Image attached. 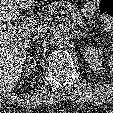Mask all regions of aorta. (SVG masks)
I'll return each mask as SVG.
<instances>
[{
	"instance_id": "762f6f07",
	"label": "aorta",
	"mask_w": 113,
	"mask_h": 113,
	"mask_svg": "<svg viewBox=\"0 0 113 113\" xmlns=\"http://www.w3.org/2000/svg\"><path fill=\"white\" fill-rule=\"evenodd\" d=\"M69 39L70 37L67 31L63 29H57L52 33L50 43L54 47L62 48L69 43Z\"/></svg>"
}]
</instances>
